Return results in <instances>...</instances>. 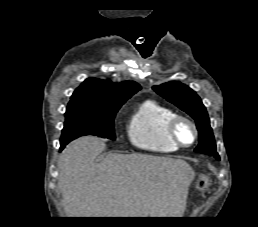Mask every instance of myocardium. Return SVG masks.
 <instances>
[{"mask_svg": "<svg viewBox=\"0 0 258 227\" xmlns=\"http://www.w3.org/2000/svg\"><path fill=\"white\" fill-rule=\"evenodd\" d=\"M181 123L188 124L193 131V140L189 144L183 143L178 136V127ZM167 133L169 137L175 142L179 147H190L198 139V129L196 124L190 118L175 114L167 123Z\"/></svg>", "mask_w": 258, "mask_h": 227, "instance_id": "myocardium-1", "label": "myocardium"}]
</instances>
